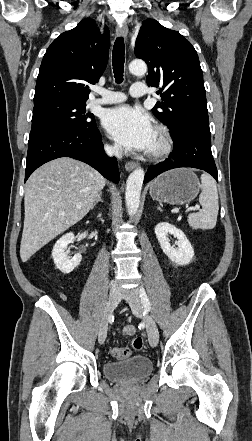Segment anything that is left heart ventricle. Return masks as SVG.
<instances>
[{"instance_id":"b2bd125f","label":"left heart ventricle","mask_w":252,"mask_h":441,"mask_svg":"<svg viewBox=\"0 0 252 441\" xmlns=\"http://www.w3.org/2000/svg\"><path fill=\"white\" fill-rule=\"evenodd\" d=\"M158 144H159L158 143V138H157V136H155L154 143H153V145H152L150 150L156 149L158 147Z\"/></svg>"}]
</instances>
